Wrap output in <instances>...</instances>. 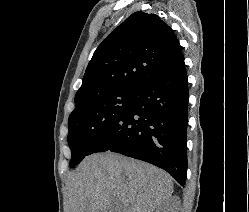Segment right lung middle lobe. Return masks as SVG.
I'll use <instances>...</instances> for the list:
<instances>
[{
	"label": "right lung middle lobe",
	"mask_w": 249,
	"mask_h": 212,
	"mask_svg": "<svg viewBox=\"0 0 249 212\" xmlns=\"http://www.w3.org/2000/svg\"><path fill=\"white\" fill-rule=\"evenodd\" d=\"M136 92H111L93 97L75 107L69 117L68 144L74 167L87 155L108 128L129 107Z\"/></svg>",
	"instance_id": "1"
}]
</instances>
